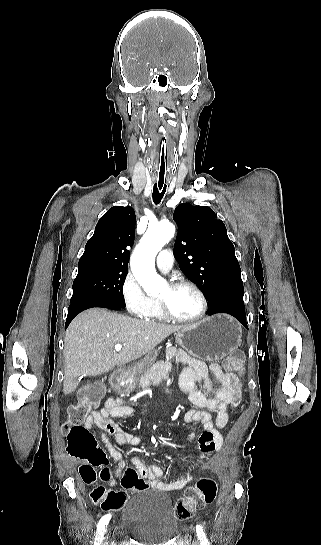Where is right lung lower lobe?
<instances>
[{"label": "right lung lower lobe", "mask_w": 321, "mask_h": 545, "mask_svg": "<svg viewBox=\"0 0 321 545\" xmlns=\"http://www.w3.org/2000/svg\"><path fill=\"white\" fill-rule=\"evenodd\" d=\"M92 307H104V308H109V309H113V310H120L121 308L125 307V303L124 304H116V303H111V302H106V301H98V300H80V301H77V302L73 303L72 305H70L69 308H68V315H67L65 327L66 328L68 327L70 322L73 320V318L77 314H79L80 312H82V311H84V310H86L88 308H92Z\"/></svg>", "instance_id": "right-lung-lower-lobe-1"}]
</instances>
